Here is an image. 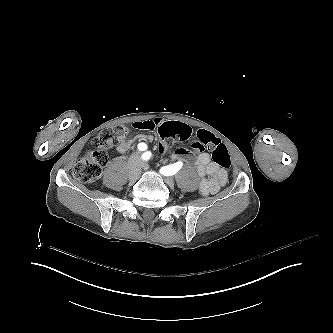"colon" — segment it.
<instances>
[{
  "label": "colon",
  "instance_id": "obj_1",
  "mask_svg": "<svg viewBox=\"0 0 333 333\" xmlns=\"http://www.w3.org/2000/svg\"><path fill=\"white\" fill-rule=\"evenodd\" d=\"M159 140L156 144L158 153H166L168 144L164 141L173 137L181 141H195L199 138L200 152L205 150L204 145L213 148L212 159L222 170H230L231 157L225 144L221 143L211 133L198 134L195 126L181 124L178 126L174 121H166L159 129ZM129 142L128 130L124 126H115L101 131L94 137L81 159L72 168L74 178L79 182H92L98 179L103 168L108 162L106 150L119 145H126Z\"/></svg>",
  "mask_w": 333,
  "mask_h": 333
}]
</instances>
